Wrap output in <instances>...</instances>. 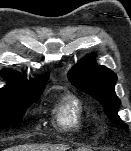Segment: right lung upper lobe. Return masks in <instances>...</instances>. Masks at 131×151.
Segmentation results:
<instances>
[{"label":"right lung upper lobe","instance_id":"obj_1","mask_svg":"<svg viewBox=\"0 0 131 151\" xmlns=\"http://www.w3.org/2000/svg\"><path fill=\"white\" fill-rule=\"evenodd\" d=\"M1 76L7 80L8 84L5 88L9 89L39 90L45 88L48 80V75H44L28 82L27 79L21 78L20 74L12 70H2Z\"/></svg>","mask_w":131,"mask_h":151}]
</instances>
